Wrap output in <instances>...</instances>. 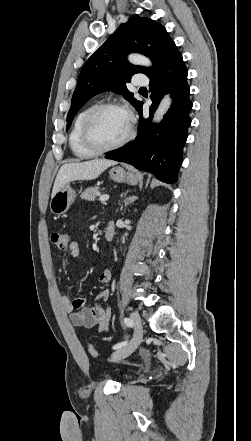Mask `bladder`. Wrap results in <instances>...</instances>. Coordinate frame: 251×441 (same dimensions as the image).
<instances>
[{
    "mask_svg": "<svg viewBox=\"0 0 251 441\" xmlns=\"http://www.w3.org/2000/svg\"><path fill=\"white\" fill-rule=\"evenodd\" d=\"M131 374H125L122 378L124 379V380H127V379H129V378H131Z\"/></svg>",
    "mask_w": 251,
    "mask_h": 441,
    "instance_id": "bladder-1",
    "label": "bladder"
}]
</instances>
